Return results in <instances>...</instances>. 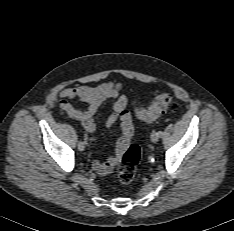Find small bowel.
<instances>
[{
    "instance_id": "c3829d8e",
    "label": "small bowel",
    "mask_w": 234,
    "mask_h": 231,
    "mask_svg": "<svg viewBox=\"0 0 234 231\" xmlns=\"http://www.w3.org/2000/svg\"><path fill=\"white\" fill-rule=\"evenodd\" d=\"M60 97L63 99L60 102V108L69 117L79 121L88 134H92L95 131L93 117L100 105L106 99H115L113 110L106 119V125L108 127L113 126L118 120L121 121L122 133L117 140L115 155L108 157L104 162L99 160L92 162V167L98 174H109L125 152L134 134L130 117L125 111L127 98L122 92V85L120 83L108 82L95 87L78 86L65 88L60 92ZM73 99L86 103L88 107L85 110L75 108L69 102V100ZM90 141L93 142L94 139L90 137Z\"/></svg>"
}]
</instances>
